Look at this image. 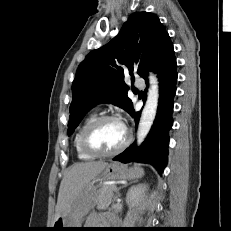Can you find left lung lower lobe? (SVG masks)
<instances>
[{
	"label": "left lung lower lobe",
	"instance_id": "left-lung-lower-lobe-1",
	"mask_svg": "<svg viewBox=\"0 0 231 231\" xmlns=\"http://www.w3.org/2000/svg\"><path fill=\"white\" fill-rule=\"evenodd\" d=\"M149 68L157 73L160 81V98L155 121L148 137L140 147H136L133 144L114 157L113 160L122 163H148L154 166L159 173H162L167 163L168 130L173 123V98L177 82L176 58L169 36L165 39ZM142 78L147 83V72H145ZM131 115L134 117L135 123L138 124L140 113L133 111Z\"/></svg>",
	"mask_w": 231,
	"mask_h": 231
}]
</instances>
